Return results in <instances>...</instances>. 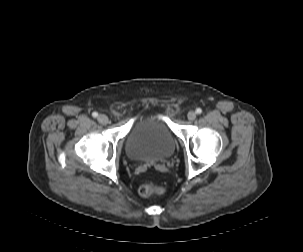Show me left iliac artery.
Segmentation results:
<instances>
[{
  "mask_svg": "<svg viewBox=\"0 0 303 252\" xmlns=\"http://www.w3.org/2000/svg\"><path fill=\"white\" fill-rule=\"evenodd\" d=\"M196 113H197V114H201V113H202V109H201V108H197V109H196Z\"/></svg>",
  "mask_w": 303,
  "mask_h": 252,
  "instance_id": "1",
  "label": "left iliac artery"
}]
</instances>
